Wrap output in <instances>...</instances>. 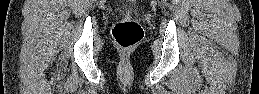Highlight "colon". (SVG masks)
<instances>
[{
    "mask_svg": "<svg viewBox=\"0 0 259 94\" xmlns=\"http://www.w3.org/2000/svg\"><path fill=\"white\" fill-rule=\"evenodd\" d=\"M143 34L141 25L128 17H123L117 21L112 28L114 41L124 50L132 49L138 45L143 38Z\"/></svg>",
    "mask_w": 259,
    "mask_h": 94,
    "instance_id": "colon-1",
    "label": "colon"
}]
</instances>
